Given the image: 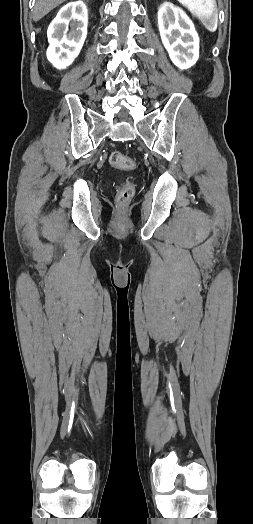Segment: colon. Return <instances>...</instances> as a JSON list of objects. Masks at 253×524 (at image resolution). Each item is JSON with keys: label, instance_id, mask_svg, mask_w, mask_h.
<instances>
[{"label": "colon", "instance_id": "1", "mask_svg": "<svg viewBox=\"0 0 253 524\" xmlns=\"http://www.w3.org/2000/svg\"><path fill=\"white\" fill-rule=\"evenodd\" d=\"M111 166L122 170H133L136 166L135 161L123 155L120 151H113L109 156ZM134 194V185L130 182L125 183L117 194V203L126 205Z\"/></svg>", "mask_w": 253, "mask_h": 524}]
</instances>
